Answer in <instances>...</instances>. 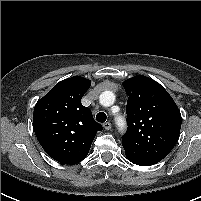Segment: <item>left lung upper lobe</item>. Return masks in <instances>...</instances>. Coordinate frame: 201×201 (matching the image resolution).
Returning <instances> with one entry per match:
<instances>
[{"mask_svg":"<svg viewBox=\"0 0 201 201\" xmlns=\"http://www.w3.org/2000/svg\"><path fill=\"white\" fill-rule=\"evenodd\" d=\"M129 96L128 131L122 145L129 161L150 166L164 159L176 144L181 128L180 111L168 92L142 75L123 83Z\"/></svg>","mask_w":201,"mask_h":201,"instance_id":"1","label":"left lung upper lobe"}]
</instances>
